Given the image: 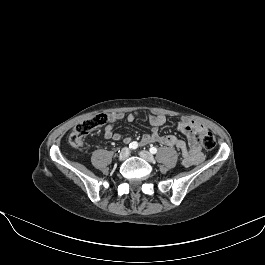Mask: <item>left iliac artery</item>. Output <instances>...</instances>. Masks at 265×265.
Wrapping results in <instances>:
<instances>
[{
    "mask_svg": "<svg viewBox=\"0 0 265 265\" xmlns=\"http://www.w3.org/2000/svg\"><path fill=\"white\" fill-rule=\"evenodd\" d=\"M150 152H151L152 154H156V153H157V148H156V147H151V148H150Z\"/></svg>",
    "mask_w": 265,
    "mask_h": 265,
    "instance_id": "1",
    "label": "left iliac artery"
}]
</instances>
